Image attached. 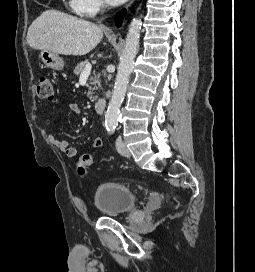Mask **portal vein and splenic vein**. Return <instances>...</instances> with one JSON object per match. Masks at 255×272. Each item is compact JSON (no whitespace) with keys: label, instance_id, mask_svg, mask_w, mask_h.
I'll use <instances>...</instances> for the list:
<instances>
[{"label":"portal vein and splenic vein","instance_id":"1","mask_svg":"<svg viewBox=\"0 0 255 272\" xmlns=\"http://www.w3.org/2000/svg\"><path fill=\"white\" fill-rule=\"evenodd\" d=\"M92 66L91 64H87L84 68V70L82 71L81 75H89L91 72Z\"/></svg>","mask_w":255,"mask_h":272}]
</instances>
